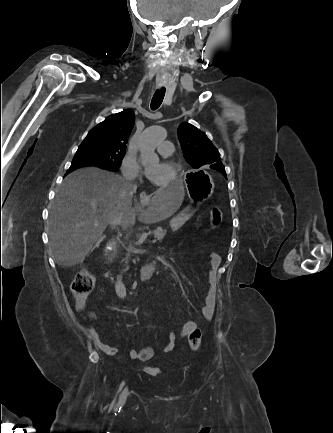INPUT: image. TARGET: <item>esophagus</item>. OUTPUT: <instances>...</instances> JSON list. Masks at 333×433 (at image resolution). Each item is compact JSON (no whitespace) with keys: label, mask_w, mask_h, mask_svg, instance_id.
<instances>
[{"label":"esophagus","mask_w":333,"mask_h":433,"mask_svg":"<svg viewBox=\"0 0 333 433\" xmlns=\"http://www.w3.org/2000/svg\"><path fill=\"white\" fill-rule=\"evenodd\" d=\"M140 200H141V201H146V200H148V196H147V193H146L145 191H142V192L140 193Z\"/></svg>","instance_id":"obj_1"}]
</instances>
